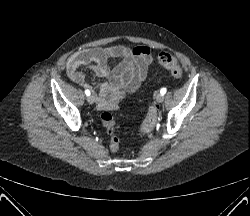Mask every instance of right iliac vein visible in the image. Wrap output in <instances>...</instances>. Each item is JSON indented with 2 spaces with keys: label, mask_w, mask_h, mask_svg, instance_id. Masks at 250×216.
Wrapping results in <instances>:
<instances>
[{
  "label": "right iliac vein",
  "mask_w": 250,
  "mask_h": 216,
  "mask_svg": "<svg viewBox=\"0 0 250 216\" xmlns=\"http://www.w3.org/2000/svg\"><path fill=\"white\" fill-rule=\"evenodd\" d=\"M87 101L89 104H93L95 102V97L93 95H89L87 97Z\"/></svg>",
  "instance_id": "right-iliac-vein-1"
}]
</instances>
